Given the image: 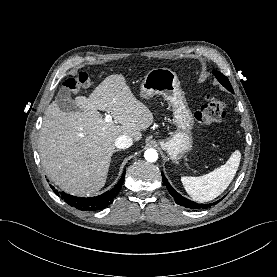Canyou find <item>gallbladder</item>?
<instances>
[{"mask_svg": "<svg viewBox=\"0 0 277 277\" xmlns=\"http://www.w3.org/2000/svg\"><path fill=\"white\" fill-rule=\"evenodd\" d=\"M56 103L59 108L65 112H76L79 110L78 106L70 96L68 88H61L56 96Z\"/></svg>", "mask_w": 277, "mask_h": 277, "instance_id": "gallbladder-1", "label": "gallbladder"}]
</instances>
